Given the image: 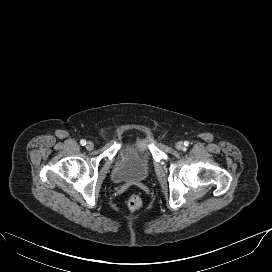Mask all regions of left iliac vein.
Returning <instances> with one entry per match:
<instances>
[{
	"instance_id": "left-iliac-vein-1",
	"label": "left iliac vein",
	"mask_w": 272,
	"mask_h": 272,
	"mask_svg": "<svg viewBox=\"0 0 272 272\" xmlns=\"http://www.w3.org/2000/svg\"><path fill=\"white\" fill-rule=\"evenodd\" d=\"M176 148H177L178 150H182V149L184 148V143L181 142V141L177 142V143H176Z\"/></svg>"
}]
</instances>
